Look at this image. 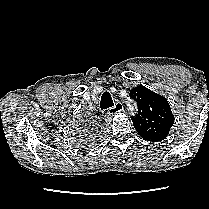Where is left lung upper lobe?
<instances>
[{"label":"left lung upper lobe","mask_w":209,"mask_h":209,"mask_svg":"<svg viewBox=\"0 0 209 209\" xmlns=\"http://www.w3.org/2000/svg\"><path fill=\"white\" fill-rule=\"evenodd\" d=\"M130 97L138 105V114L131 117L138 134L151 142L165 139L174 123L167 99L142 85L130 90Z\"/></svg>","instance_id":"left-lung-upper-lobe-1"}]
</instances>
